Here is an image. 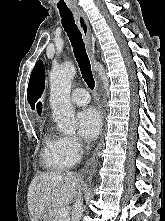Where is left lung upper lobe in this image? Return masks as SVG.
I'll list each match as a JSON object with an SVG mask.
<instances>
[{
  "instance_id": "obj_1",
  "label": "left lung upper lobe",
  "mask_w": 165,
  "mask_h": 221,
  "mask_svg": "<svg viewBox=\"0 0 165 221\" xmlns=\"http://www.w3.org/2000/svg\"><path fill=\"white\" fill-rule=\"evenodd\" d=\"M37 111H38V113L41 112V103H38V105H37Z\"/></svg>"
}]
</instances>
